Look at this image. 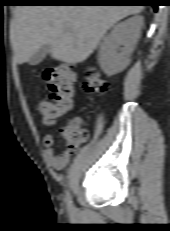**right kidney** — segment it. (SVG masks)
Returning <instances> with one entry per match:
<instances>
[{
  "label": "right kidney",
  "instance_id": "1",
  "mask_svg": "<svg viewBox=\"0 0 170 231\" xmlns=\"http://www.w3.org/2000/svg\"><path fill=\"white\" fill-rule=\"evenodd\" d=\"M142 27L143 17L137 15L116 25L104 38L98 62L106 75H115L126 68Z\"/></svg>",
  "mask_w": 170,
  "mask_h": 231
}]
</instances>
